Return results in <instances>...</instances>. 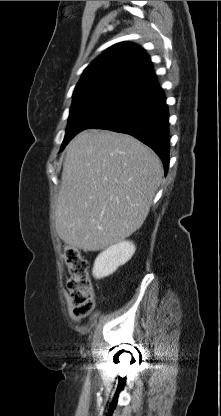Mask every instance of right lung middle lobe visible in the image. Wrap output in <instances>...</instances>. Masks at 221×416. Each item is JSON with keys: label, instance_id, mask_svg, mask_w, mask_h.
<instances>
[{"label": "right lung middle lobe", "instance_id": "right-lung-middle-lobe-1", "mask_svg": "<svg viewBox=\"0 0 221 416\" xmlns=\"http://www.w3.org/2000/svg\"><path fill=\"white\" fill-rule=\"evenodd\" d=\"M126 96L123 93H95L73 99L61 150L77 133L101 122Z\"/></svg>", "mask_w": 221, "mask_h": 416}]
</instances>
